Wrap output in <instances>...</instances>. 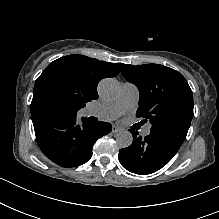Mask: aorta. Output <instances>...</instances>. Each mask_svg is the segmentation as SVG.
Returning a JSON list of instances; mask_svg holds the SVG:
<instances>
[{
	"label": "aorta",
	"instance_id": "762f6f07",
	"mask_svg": "<svg viewBox=\"0 0 219 219\" xmlns=\"http://www.w3.org/2000/svg\"><path fill=\"white\" fill-rule=\"evenodd\" d=\"M98 91L104 100L112 101L119 95V82L112 78L103 79L98 85ZM132 141L133 136L129 131H120L116 135V142L120 148L129 147L132 144Z\"/></svg>",
	"mask_w": 219,
	"mask_h": 219
}]
</instances>
